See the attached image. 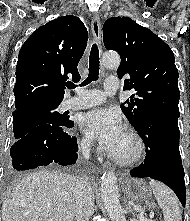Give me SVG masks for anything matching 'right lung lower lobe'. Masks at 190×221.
<instances>
[{
	"label": "right lung lower lobe",
	"instance_id": "obj_1",
	"mask_svg": "<svg viewBox=\"0 0 190 221\" xmlns=\"http://www.w3.org/2000/svg\"><path fill=\"white\" fill-rule=\"evenodd\" d=\"M73 125L74 122L69 120L64 125L46 123L33 128L11 147L13 168L27 170L52 163L74 164L77 160V140L66 132Z\"/></svg>",
	"mask_w": 190,
	"mask_h": 221
}]
</instances>
